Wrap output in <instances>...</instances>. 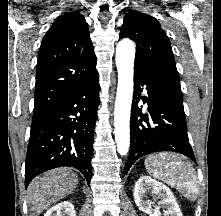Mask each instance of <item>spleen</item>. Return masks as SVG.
<instances>
[{
    "instance_id": "obj_1",
    "label": "spleen",
    "mask_w": 221,
    "mask_h": 216,
    "mask_svg": "<svg viewBox=\"0 0 221 216\" xmlns=\"http://www.w3.org/2000/svg\"><path fill=\"white\" fill-rule=\"evenodd\" d=\"M145 167L149 175L175 187L185 197L195 198L198 194L195 170L185 157L168 153L150 155Z\"/></svg>"
}]
</instances>
